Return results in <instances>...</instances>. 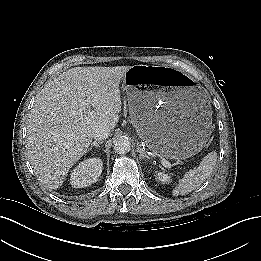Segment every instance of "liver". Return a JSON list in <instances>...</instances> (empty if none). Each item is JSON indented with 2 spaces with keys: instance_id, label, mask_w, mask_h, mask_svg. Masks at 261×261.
<instances>
[{
  "instance_id": "6515ba94",
  "label": "liver",
  "mask_w": 261,
  "mask_h": 261,
  "mask_svg": "<svg viewBox=\"0 0 261 261\" xmlns=\"http://www.w3.org/2000/svg\"><path fill=\"white\" fill-rule=\"evenodd\" d=\"M131 66L75 67L45 84L27 125V153L40 182L59 188L88 151L93 129H113L122 109L120 83Z\"/></svg>"
}]
</instances>
